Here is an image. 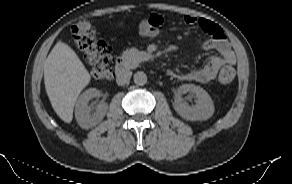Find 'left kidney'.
<instances>
[{"label":"left kidney","mask_w":292,"mask_h":184,"mask_svg":"<svg viewBox=\"0 0 292 184\" xmlns=\"http://www.w3.org/2000/svg\"><path fill=\"white\" fill-rule=\"evenodd\" d=\"M185 92L194 94L195 105L190 106L181 98L180 95ZM173 108L181 117L190 121L207 120L214 113V104L209 94L194 84H183L178 88Z\"/></svg>","instance_id":"left-kidney-1"}]
</instances>
